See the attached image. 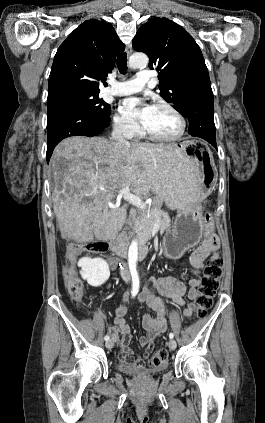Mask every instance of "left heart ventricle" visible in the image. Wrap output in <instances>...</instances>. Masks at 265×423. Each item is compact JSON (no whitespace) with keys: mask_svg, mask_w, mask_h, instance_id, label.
<instances>
[{"mask_svg":"<svg viewBox=\"0 0 265 423\" xmlns=\"http://www.w3.org/2000/svg\"><path fill=\"white\" fill-rule=\"evenodd\" d=\"M143 125L151 132L162 136H173L180 129V122L169 110L152 107L149 117Z\"/></svg>","mask_w":265,"mask_h":423,"instance_id":"left-heart-ventricle-1","label":"left heart ventricle"}]
</instances>
